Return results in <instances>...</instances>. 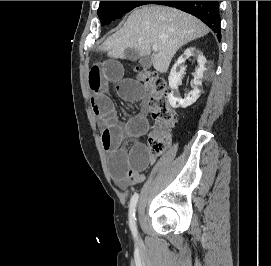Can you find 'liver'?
I'll use <instances>...</instances> for the list:
<instances>
[{
    "label": "liver",
    "mask_w": 271,
    "mask_h": 266,
    "mask_svg": "<svg viewBox=\"0 0 271 266\" xmlns=\"http://www.w3.org/2000/svg\"><path fill=\"white\" fill-rule=\"evenodd\" d=\"M209 28L194 16L175 8L159 5L135 9L124 26L101 46L109 57L125 58L127 49L139 56L151 55L153 67L165 73L177 50L188 42L208 34Z\"/></svg>",
    "instance_id": "1"
}]
</instances>
